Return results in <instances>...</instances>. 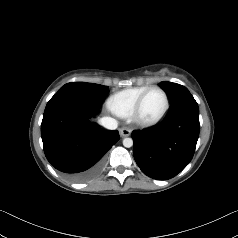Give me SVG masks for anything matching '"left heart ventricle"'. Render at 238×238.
I'll list each match as a JSON object with an SVG mask.
<instances>
[{
	"label": "left heart ventricle",
	"instance_id": "1",
	"mask_svg": "<svg viewBox=\"0 0 238 238\" xmlns=\"http://www.w3.org/2000/svg\"><path fill=\"white\" fill-rule=\"evenodd\" d=\"M165 107V97L159 90L151 91L145 98L140 117L144 120H152L157 118Z\"/></svg>",
	"mask_w": 238,
	"mask_h": 238
}]
</instances>
